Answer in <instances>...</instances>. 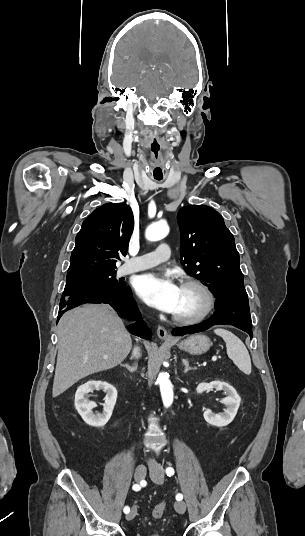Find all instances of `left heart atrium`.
I'll use <instances>...</instances> for the list:
<instances>
[{
  "label": "left heart atrium",
  "mask_w": 305,
  "mask_h": 536,
  "mask_svg": "<svg viewBox=\"0 0 305 536\" xmlns=\"http://www.w3.org/2000/svg\"><path fill=\"white\" fill-rule=\"evenodd\" d=\"M138 296L164 312L173 313L180 297V286L171 273H146L135 284Z\"/></svg>",
  "instance_id": "left-heart-atrium-1"
}]
</instances>
